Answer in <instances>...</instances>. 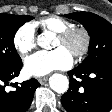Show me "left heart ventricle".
<instances>
[{"instance_id": "1", "label": "left heart ventricle", "mask_w": 112, "mask_h": 112, "mask_svg": "<svg viewBox=\"0 0 112 112\" xmlns=\"http://www.w3.org/2000/svg\"><path fill=\"white\" fill-rule=\"evenodd\" d=\"M82 41L80 38H76L75 40L71 41L70 43L64 44L61 42L58 38L54 44V48H59V47H64L67 49L71 54L74 53V51L79 48L81 45Z\"/></svg>"}]
</instances>
